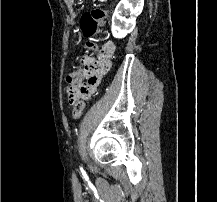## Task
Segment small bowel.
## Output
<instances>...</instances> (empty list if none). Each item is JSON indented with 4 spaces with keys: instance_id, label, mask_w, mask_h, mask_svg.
I'll return each mask as SVG.
<instances>
[{
    "instance_id": "obj_1",
    "label": "small bowel",
    "mask_w": 217,
    "mask_h": 202,
    "mask_svg": "<svg viewBox=\"0 0 217 202\" xmlns=\"http://www.w3.org/2000/svg\"><path fill=\"white\" fill-rule=\"evenodd\" d=\"M115 52V45L111 41H106L98 52L96 59L86 61L92 77L90 78L85 95L92 94L96 89V84L100 76L104 75L112 66V56Z\"/></svg>"
}]
</instances>
